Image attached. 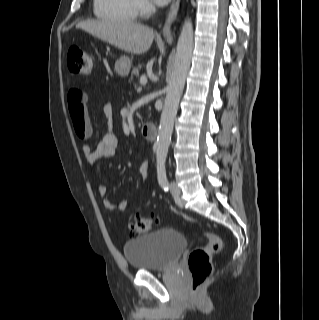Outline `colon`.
I'll return each mask as SVG.
<instances>
[{"label":"colon","instance_id":"1","mask_svg":"<svg viewBox=\"0 0 319 320\" xmlns=\"http://www.w3.org/2000/svg\"><path fill=\"white\" fill-rule=\"evenodd\" d=\"M67 63L69 70L75 75L90 74L93 66V55L78 47H72L68 51ZM74 125V124H73ZM75 133L81 140L90 137V130L83 125H74ZM160 225V219L156 214L147 217L135 215L129 222V233L137 236L143 232L155 230ZM207 239L205 246L193 249L188 258V266L191 274V290L195 294L199 291L202 284L212 274V256L222 249L220 237L213 232H203Z\"/></svg>","mask_w":319,"mask_h":320}]
</instances>
